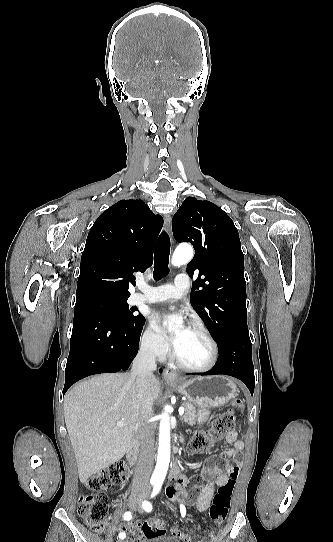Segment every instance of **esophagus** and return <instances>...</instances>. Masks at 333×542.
Returning a JSON list of instances; mask_svg holds the SVG:
<instances>
[{
  "label": "esophagus",
  "mask_w": 333,
  "mask_h": 542,
  "mask_svg": "<svg viewBox=\"0 0 333 542\" xmlns=\"http://www.w3.org/2000/svg\"><path fill=\"white\" fill-rule=\"evenodd\" d=\"M164 223H165L167 232L170 233L171 231V216L170 215H165ZM178 378H179V374L175 372L174 370H172L171 368H167L163 372V379L166 380L167 382H176Z\"/></svg>",
  "instance_id": "1"
}]
</instances>
